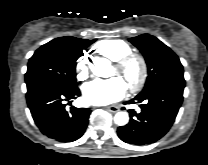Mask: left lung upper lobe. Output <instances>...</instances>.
Instances as JSON below:
<instances>
[{"instance_id":"left-lung-upper-lobe-1","label":"left lung upper lobe","mask_w":208,"mask_h":165,"mask_svg":"<svg viewBox=\"0 0 208 165\" xmlns=\"http://www.w3.org/2000/svg\"><path fill=\"white\" fill-rule=\"evenodd\" d=\"M130 42L141 51L148 67L147 81L141 93L164 81L184 80L179 58L156 37L142 34L130 38Z\"/></svg>"}]
</instances>
